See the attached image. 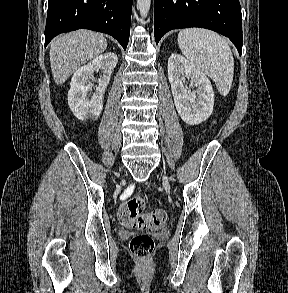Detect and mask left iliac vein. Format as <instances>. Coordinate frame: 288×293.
Wrapping results in <instances>:
<instances>
[{
  "instance_id": "left-iliac-vein-1",
  "label": "left iliac vein",
  "mask_w": 288,
  "mask_h": 293,
  "mask_svg": "<svg viewBox=\"0 0 288 293\" xmlns=\"http://www.w3.org/2000/svg\"><path fill=\"white\" fill-rule=\"evenodd\" d=\"M163 180H164V181H166V178H165V177H163Z\"/></svg>"
}]
</instances>
